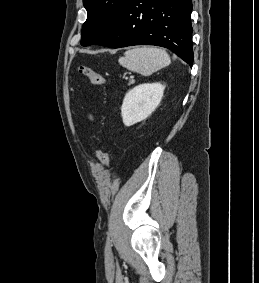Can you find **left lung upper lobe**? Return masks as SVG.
Returning a JSON list of instances; mask_svg holds the SVG:
<instances>
[{"instance_id":"1","label":"left lung upper lobe","mask_w":259,"mask_h":283,"mask_svg":"<svg viewBox=\"0 0 259 283\" xmlns=\"http://www.w3.org/2000/svg\"><path fill=\"white\" fill-rule=\"evenodd\" d=\"M128 0H83L87 20L82 26L81 45L97 44L116 24Z\"/></svg>"}]
</instances>
